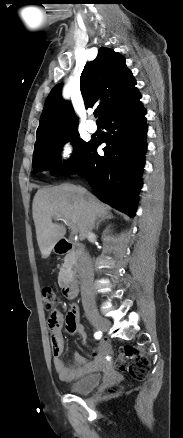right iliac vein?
I'll use <instances>...</instances> for the list:
<instances>
[{"instance_id": "63e3f726", "label": "right iliac vein", "mask_w": 183, "mask_h": 438, "mask_svg": "<svg viewBox=\"0 0 183 438\" xmlns=\"http://www.w3.org/2000/svg\"><path fill=\"white\" fill-rule=\"evenodd\" d=\"M90 322L95 328L101 331H107L110 327V322L99 315H93L90 318Z\"/></svg>"}]
</instances>
